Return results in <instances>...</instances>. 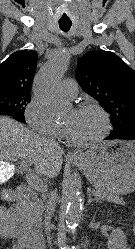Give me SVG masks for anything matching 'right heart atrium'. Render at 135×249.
Returning <instances> with one entry per match:
<instances>
[{"label":"right heart atrium","instance_id":"right-heart-atrium-1","mask_svg":"<svg viewBox=\"0 0 135 249\" xmlns=\"http://www.w3.org/2000/svg\"><path fill=\"white\" fill-rule=\"evenodd\" d=\"M24 115L27 124L35 132L53 138L63 135V128L50 118L45 107L36 97L28 103Z\"/></svg>","mask_w":135,"mask_h":249}]
</instances>
